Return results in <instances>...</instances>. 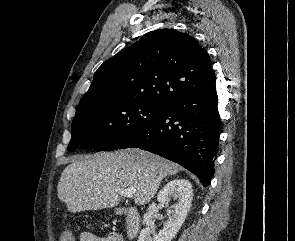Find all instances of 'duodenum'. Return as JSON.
<instances>
[{
  "label": "duodenum",
  "instance_id": "1",
  "mask_svg": "<svg viewBox=\"0 0 295 241\" xmlns=\"http://www.w3.org/2000/svg\"><path fill=\"white\" fill-rule=\"evenodd\" d=\"M126 216V232L129 237H134L140 229V217L135 208H127L125 211Z\"/></svg>",
  "mask_w": 295,
  "mask_h": 241
}]
</instances>
